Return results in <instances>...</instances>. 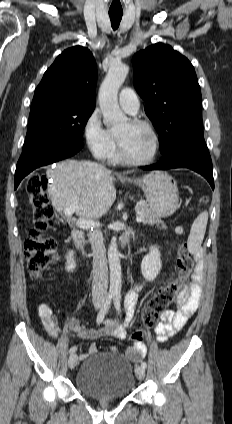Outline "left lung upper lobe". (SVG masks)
<instances>
[{
    "label": "left lung upper lobe",
    "mask_w": 232,
    "mask_h": 424,
    "mask_svg": "<svg viewBox=\"0 0 232 424\" xmlns=\"http://www.w3.org/2000/svg\"><path fill=\"white\" fill-rule=\"evenodd\" d=\"M132 62L135 88L145 101L163 153L182 133L202 127L201 91L194 67L162 43L139 51Z\"/></svg>",
    "instance_id": "5c2ea615"
}]
</instances>
